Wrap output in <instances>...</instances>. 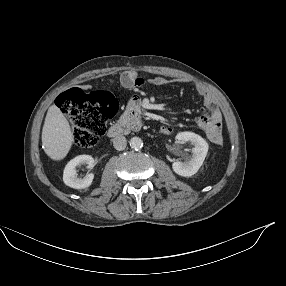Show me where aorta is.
I'll list each match as a JSON object with an SVG mask.
<instances>
[{
  "mask_svg": "<svg viewBox=\"0 0 286 286\" xmlns=\"http://www.w3.org/2000/svg\"><path fill=\"white\" fill-rule=\"evenodd\" d=\"M130 147L134 150H139L143 147V141L139 137H132L130 139Z\"/></svg>",
  "mask_w": 286,
  "mask_h": 286,
  "instance_id": "obj_1",
  "label": "aorta"
}]
</instances>
